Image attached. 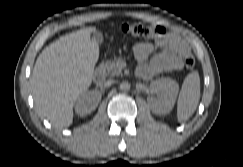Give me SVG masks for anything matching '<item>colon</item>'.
<instances>
[{
  "label": "colon",
  "instance_id": "colon-1",
  "mask_svg": "<svg viewBox=\"0 0 243 167\" xmlns=\"http://www.w3.org/2000/svg\"><path fill=\"white\" fill-rule=\"evenodd\" d=\"M121 31L124 35L138 38L143 40H149L155 36L164 34L165 28L162 25L148 26L142 23L125 24L121 27ZM184 64L187 70H192L195 66V59L191 54H187L184 60Z\"/></svg>",
  "mask_w": 243,
  "mask_h": 167
}]
</instances>
